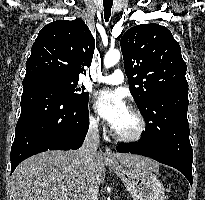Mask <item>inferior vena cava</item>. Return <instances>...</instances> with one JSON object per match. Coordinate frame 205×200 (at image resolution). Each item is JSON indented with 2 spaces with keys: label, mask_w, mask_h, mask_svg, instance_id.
<instances>
[{
  "label": "inferior vena cava",
  "mask_w": 205,
  "mask_h": 200,
  "mask_svg": "<svg viewBox=\"0 0 205 200\" xmlns=\"http://www.w3.org/2000/svg\"><path fill=\"white\" fill-rule=\"evenodd\" d=\"M99 148V130L98 121L93 120L89 124V129L85 137L84 143L78 150L82 156V163L85 167L93 165V157L97 154ZM98 187L91 184L86 190V200H98Z\"/></svg>",
  "instance_id": "602c4592"
}]
</instances>
